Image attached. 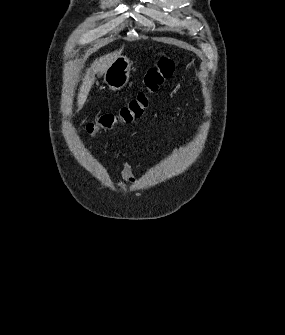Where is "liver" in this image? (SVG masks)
Wrapping results in <instances>:
<instances>
[{
	"label": "liver",
	"instance_id": "1",
	"mask_svg": "<svg viewBox=\"0 0 285 335\" xmlns=\"http://www.w3.org/2000/svg\"><path fill=\"white\" fill-rule=\"evenodd\" d=\"M120 52H112V54H106V56H102V58H97L93 64H91V68H87L83 78L82 84L79 88V92L77 94V112L83 108L88 96L89 92L95 82V74H104L107 68H109L110 64H112L113 60L118 58Z\"/></svg>",
	"mask_w": 285,
	"mask_h": 335
}]
</instances>
